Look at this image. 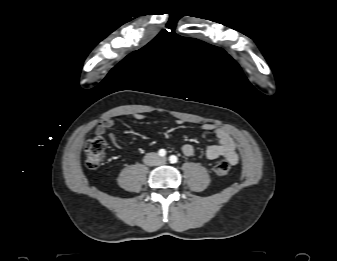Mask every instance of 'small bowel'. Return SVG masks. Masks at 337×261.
Returning <instances> with one entry per match:
<instances>
[{
	"label": "small bowel",
	"instance_id": "c3829d8e",
	"mask_svg": "<svg viewBox=\"0 0 337 261\" xmlns=\"http://www.w3.org/2000/svg\"><path fill=\"white\" fill-rule=\"evenodd\" d=\"M132 117L136 120H143L145 116L141 113H134ZM179 124H182V120H178ZM114 125V119L108 117L101 121L96 127L97 135H105L112 126ZM201 128L205 131L212 132L216 136V143L207 147L206 156L208 159H217L219 157H224L230 164L235 165L239 161V157L236 151V143L232 136L227 130L221 127H217L211 123L202 124ZM111 141H116V136L114 134H109ZM193 145L186 143L182 146V152L185 156H192L194 154Z\"/></svg>",
	"mask_w": 337,
	"mask_h": 261
}]
</instances>
